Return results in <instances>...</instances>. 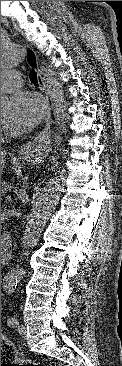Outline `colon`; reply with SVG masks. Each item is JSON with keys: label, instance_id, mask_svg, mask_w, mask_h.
I'll list each match as a JSON object with an SVG mask.
<instances>
[{"label": "colon", "instance_id": "1", "mask_svg": "<svg viewBox=\"0 0 122 366\" xmlns=\"http://www.w3.org/2000/svg\"><path fill=\"white\" fill-rule=\"evenodd\" d=\"M1 358H4L8 361H13L16 359L15 351L13 345L6 339H4L1 335ZM6 366H45L41 363L31 362V361H22L21 363H11L5 364ZM4 365V366H5ZM55 366V365H50Z\"/></svg>", "mask_w": 122, "mask_h": 366}]
</instances>
